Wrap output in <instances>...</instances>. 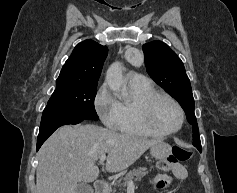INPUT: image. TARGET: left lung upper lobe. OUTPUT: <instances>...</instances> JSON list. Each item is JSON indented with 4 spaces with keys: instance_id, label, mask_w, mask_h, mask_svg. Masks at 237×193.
Wrapping results in <instances>:
<instances>
[{
    "instance_id": "1",
    "label": "left lung upper lobe",
    "mask_w": 237,
    "mask_h": 193,
    "mask_svg": "<svg viewBox=\"0 0 237 193\" xmlns=\"http://www.w3.org/2000/svg\"><path fill=\"white\" fill-rule=\"evenodd\" d=\"M142 49L148 74L180 103L188 122L193 126V145L201 148L191 84L182 61L162 41L146 43Z\"/></svg>"
}]
</instances>
